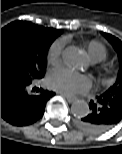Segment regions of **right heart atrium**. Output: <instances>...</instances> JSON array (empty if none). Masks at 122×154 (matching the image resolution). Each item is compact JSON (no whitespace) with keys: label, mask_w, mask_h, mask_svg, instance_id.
<instances>
[{"label":"right heart atrium","mask_w":122,"mask_h":154,"mask_svg":"<svg viewBox=\"0 0 122 154\" xmlns=\"http://www.w3.org/2000/svg\"><path fill=\"white\" fill-rule=\"evenodd\" d=\"M64 42L62 40L55 41L49 48L47 61L50 65L57 66L62 60Z\"/></svg>","instance_id":"right-heart-atrium-1"}]
</instances>
